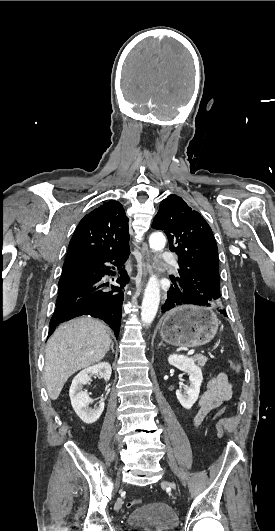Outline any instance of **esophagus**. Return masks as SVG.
Masks as SVG:
<instances>
[{
    "instance_id": "obj_1",
    "label": "esophagus",
    "mask_w": 275,
    "mask_h": 531,
    "mask_svg": "<svg viewBox=\"0 0 275 531\" xmlns=\"http://www.w3.org/2000/svg\"><path fill=\"white\" fill-rule=\"evenodd\" d=\"M142 253V270L143 277H146L149 272H151V254L148 249L147 243L142 244L141 248Z\"/></svg>"
}]
</instances>
